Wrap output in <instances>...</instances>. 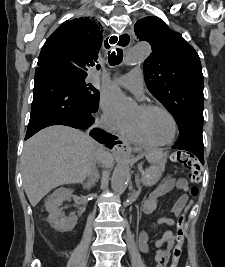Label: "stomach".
<instances>
[{
  "label": "stomach",
  "instance_id": "obj_1",
  "mask_svg": "<svg viewBox=\"0 0 225 267\" xmlns=\"http://www.w3.org/2000/svg\"><path fill=\"white\" fill-rule=\"evenodd\" d=\"M146 157L153 164L165 161V156L162 153H150Z\"/></svg>",
  "mask_w": 225,
  "mask_h": 267
}]
</instances>
